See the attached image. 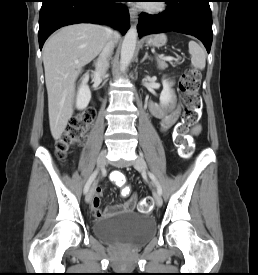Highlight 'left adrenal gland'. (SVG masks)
<instances>
[{
  "label": "left adrenal gland",
  "instance_id": "1",
  "mask_svg": "<svg viewBox=\"0 0 258 275\" xmlns=\"http://www.w3.org/2000/svg\"><path fill=\"white\" fill-rule=\"evenodd\" d=\"M147 58L150 59V57L148 56V52H145V55H144L143 59L141 60V62H144L145 59H147Z\"/></svg>",
  "mask_w": 258,
  "mask_h": 275
}]
</instances>
